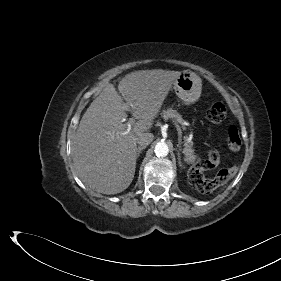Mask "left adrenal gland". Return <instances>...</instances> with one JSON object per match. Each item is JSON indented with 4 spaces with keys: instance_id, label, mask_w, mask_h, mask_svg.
Returning a JSON list of instances; mask_svg holds the SVG:
<instances>
[{
    "instance_id": "obj_1",
    "label": "left adrenal gland",
    "mask_w": 281,
    "mask_h": 281,
    "mask_svg": "<svg viewBox=\"0 0 281 281\" xmlns=\"http://www.w3.org/2000/svg\"><path fill=\"white\" fill-rule=\"evenodd\" d=\"M178 164L180 167H183L182 162H181V156H180L179 152H178Z\"/></svg>"
}]
</instances>
